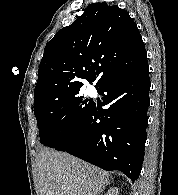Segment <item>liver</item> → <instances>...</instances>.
Here are the masks:
<instances>
[{
    "instance_id": "obj_1",
    "label": "liver",
    "mask_w": 178,
    "mask_h": 195,
    "mask_svg": "<svg viewBox=\"0 0 178 195\" xmlns=\"http://www.w3.org/2000/svg\"><path fill=\"white\" fill-rule=\"evenodd\" d=\"M40 195H98L110 174L70 154L43 149L37 156Z\"/></svg>"
}]
</instances>
